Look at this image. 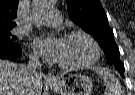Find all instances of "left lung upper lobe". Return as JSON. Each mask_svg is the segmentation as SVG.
<instances>
[{
	"label": "left lung upper lobe",
	"instance_id": "1",
	"mask_svg": "<svg viewBox=\"0 0 135 95\" xmlns=\"http://www.w3.org/2000/svg\"><path fill=\"white\" fill-rule=\"evenodd\" d=\"M66 2L72 21L99 42L107 57V63L115 65L116 68H124L100 0H66Z\"/></svg>",
	"mask_w": 135,
	"mask_h": 95
}]
</instances>
